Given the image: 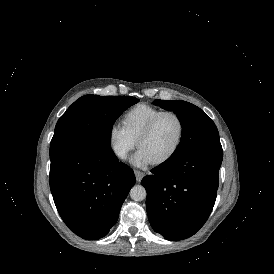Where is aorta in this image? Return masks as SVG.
Returning a JSON list of instances; mask_svg holds the SVG:
<instances>
[{
  "instance_id": "obj_1",
  "label": "aorta",
  "mask_w": 274,
  "mask_h": 274,
  "mask_svg": "<svg viewBox=\"0 0 274 274\" xmlns=\"http://www.w3.org/2000/svg\"><path fill=\"white\" fill-rule=\"evenodd\" d=\"M129 194L134 201H142L147 196L146 189L142 185L133 186Z\"/></svg>"
}]
</instances>
